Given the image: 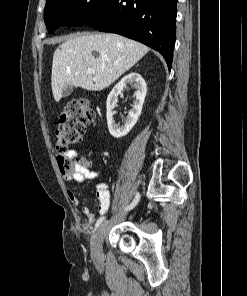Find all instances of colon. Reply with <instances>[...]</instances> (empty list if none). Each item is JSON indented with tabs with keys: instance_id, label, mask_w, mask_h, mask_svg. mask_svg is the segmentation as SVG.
<instances>
[{
	"instance_id": "obj_1",
	"label": "colon",
	"mask_w": 247,
	"mask_h": 296,
	"mask_svg": "<svg viewBox=\"0 0 247 296\" xmlns=\"http://www.w3.org/2000/svg\"><path fill=\"white\" fill-rule=\"evenodd\" d=\"M95 122V111L86 99H74L65 105L56 127V150L62 171L83 172L87 168L84 158L71 159L66 156V152L80 142L87 126Z\"/></svg>"
}]
</instances>
